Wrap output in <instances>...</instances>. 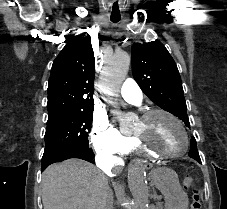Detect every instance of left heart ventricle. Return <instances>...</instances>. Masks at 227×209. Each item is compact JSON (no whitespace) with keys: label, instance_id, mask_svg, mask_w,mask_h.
<instances>
[{"label":"left heart ventricle","instance_id":"left-heart-ventricle-1","mask_svg":"<svg viewBox=\"0 0 227 209\" xmlns=\"http://www.w3.org/2000/svg\"><path fill=\"white\" fill-rule=\"evenodd\" d=\"M133 133L138 134L151 148L161 152H174L184 145L180 127L164 114L138 120Z\"/></svg>","mask_w":227,"mask_h":209}]
</instances>
